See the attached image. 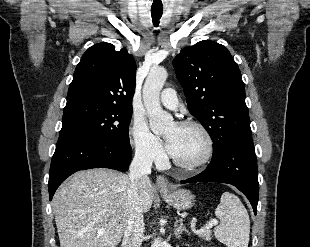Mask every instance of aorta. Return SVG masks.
<instances>
[{
  "mask_svg": "<svg viewBox=\"0 0 310 247\" xmlns=\"http://www.w3.org/2000/svg\"><path fill=\"white\" fill-rule=\"evenodd\" d=\"M168 77L164 67L150 70L143 87V102L149 118L150 128L153 133H163L173 125V117L165 112L160 105V91ZM151 247H161L156 238Z\"/></svg>",
  "mask_w": 310,
  "mask_h": 247,
  "instance_id": "aorta-1",
  "label": "aorta"
}]
</instances>
